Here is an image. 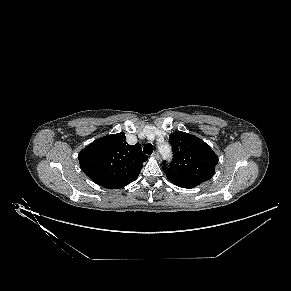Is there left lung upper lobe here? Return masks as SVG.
<instances>
[{
    "label": "left lung upper lobe",
    "mask_w": 291,
    "mask_h": 291,
    "mask_svg": "<svg viewBox=\"0 0 291 291\" xmlns=\"http://www.w3.org/2000/svg\"><path fill=\"white\" fill-rule=\"evenodd\" d=\"M173 149V161L163 170L173 184L193 188L212 178L218 157L200 138L176 131L169 136Z\"/></svg>",
    "instance_id": "left-lung-upper-lobe-1"
}]
</instances>
